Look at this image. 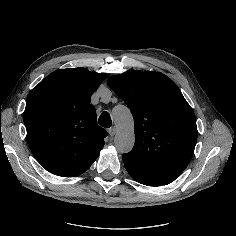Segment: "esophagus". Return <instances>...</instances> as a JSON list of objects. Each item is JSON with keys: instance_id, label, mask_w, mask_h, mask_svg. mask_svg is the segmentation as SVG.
I'll return each instance as SVG.
<instances>
[{"instance_id": "34e87169", "label": "esophagus", "mask_w": 236, "mask_h": 236, "mask_svg": "<svg viewBox=\"0 0 236 236\" xmlns=\"http://www.w3.org/2000/svg\"><path fill=\"white\" fill-rule=\"evenodd\" d=\"M108 132H109V135L113 137L116 135L117 129L113 127V128H110Z\"/></svg>"}]
</instances>
